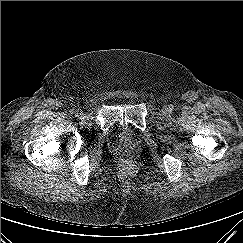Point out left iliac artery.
<instances>
[{"label":"left iliac artery","mask_w":243,"mask_h":243,"mask_svg":"<svg viewBox=\"0 0 243 243\" xmlns=\"http://www.w3.org/2000/svg\"><path fill=\"white\" fill-rule=\"evenodd\" d=\"M173 109H174V106L171 104V105H169V110L170 111H173Z\"/></svg>","instance_id":"44dca946"}]
</instances>
